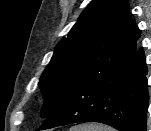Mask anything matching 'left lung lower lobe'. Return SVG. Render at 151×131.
<instances>
[{"label":"left lung lower lobe","mask_w":151,"mask_h":131,"mask_svg":"<svg viewBox=\"0 0 151 131\" xmlns=\"http://www.w3.org/2000/svg\"><path fill=\"white\" fill-rule=\"evenodd\" d=\"M141 31L137 28V39ZM142 49L112 69L87 72L38 130L77 122H99L119 131H146L149 102Z\"/></svg>","instance_id":"obj_1"}]
</instances>
